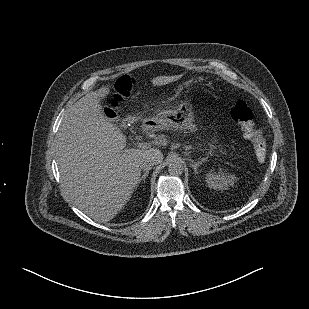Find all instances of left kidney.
I'll use <instances>...</instances> for the list:
<instances>
[{"instance_id":"left-kidney-1","label":"left kidney","mask_w":309,"mask_h":309,"mask_svg":"<svg viewBox=\"0 0 309 309\" xmlns=\"http://www.w3.org/2000/svg\"><path fill=\"white\" fill-rule=\"evenodd\" d=\"M236 180L235 175L223 172H208L205 176L207 186L219 190L227 189L229 186L234 185Z\"/></svg>"}]
</instances>
